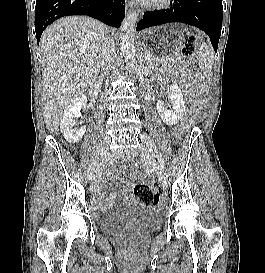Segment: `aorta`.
Wrapping results in <instances>:
<instances>
[{
    "label": "aorta",
    "instance_id": "1",
    "mask_svg": "<svg viewBox=\"0 0 265 273\" xmlns=\"http://www.w3.org/2000/svg\"><path fill=\"white\" fill-rule=\"evenodd\" d=\"M139 12L128 14L120 27L121 53L125 59L126 69L131 71L135 65V24L138 20Z\"/></svg>",
    "mask_w": 265,
    "mask_h": 273
}]
</instances>
